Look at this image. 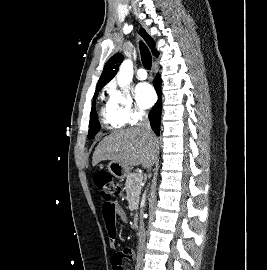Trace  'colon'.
I'll list each match as a JSON object with an SVG mask.
<instances>
[{
  "label": "colon",
  "mask_w": 267,
  "mask_h": 270,
  "mask_svg": "<svg viewBox=\"0 0 267 270\" xmlns=\"http://www.w3.org/2000/svg\"><path fill=\"white\" fill-rule=\"evenodd\" d=\"M94 184L98 188L101 198L106 202L119 196L121 193L120 184L115 181L109 173H97L94 176ZM121 261V257L119 255H115L112 259V269L121 270Z\"/></svg>",
  "instance_id": "colon-1"
}]
</instances>
